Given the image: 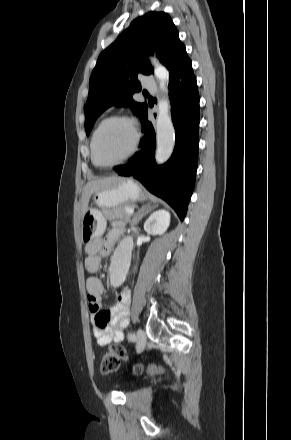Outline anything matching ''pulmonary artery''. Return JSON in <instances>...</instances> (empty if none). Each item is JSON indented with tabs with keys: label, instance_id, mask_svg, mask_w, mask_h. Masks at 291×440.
I'll use <instances>...</instances> for the list:
<instances>
[{
	"label": "pulmonary artery",
	"instance_id": "e3ab8cb5",
	"mask_svg": "<svg viewBox=\"0 0 291 440\" xmlns=\"http://www.w3.org/2000/svg\"><path fill=\"white\" fill-rule=\"evenodd\" d=\"M142 80L144 86L148 87L154 93L157 92L155 83L151 81V78L147 74L142 75Z\"/></svg>",
	"mask_w": 291,
	"mask_h": 440
}]
</instances>
